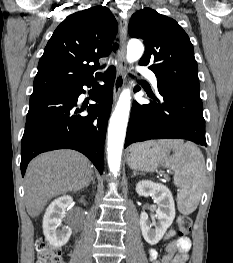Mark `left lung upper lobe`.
I'll return each instance as SVG.
<instances>
[{
  "label": "left lung upper lobe",
  "mask_w": 233,
  "mask_h": 263,
  "mask_svg": "<svg viewBox=\"0 0 233 263\" xmlns=\"http://www.w3.org/2000/svg\"><path fill=\"white\" fill-rule=\"evenodd\" d=\"M128 31L131 37L144 40L145 52L139 64H150L158 87L176 83L199 88L193 45L175 20L144 8L132 15Z\"/></svg>",
  "instance_id": "1"
}]
</instances>
